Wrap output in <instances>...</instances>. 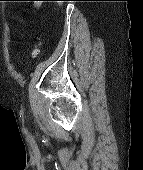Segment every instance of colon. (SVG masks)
<instances>
[{
	"label": "colon",
	"instance_id": "colon-1",
	"mask_svg": "<svg viewBox=\"0 0 143 170\" xmlns=\"http://www.w3.org/2000/svg\"><path fill=\"white\" fill-rule=\"evenodd\" d=\"M32 2H36V1H63V0H30ZM62 4H58L57 5V9L60 10L61 9ZM39 53V49H36L35 51V55H37Z\"/></svg>",
	"mask_w": 143,
	"mask_h": 170
}]
</instances>
